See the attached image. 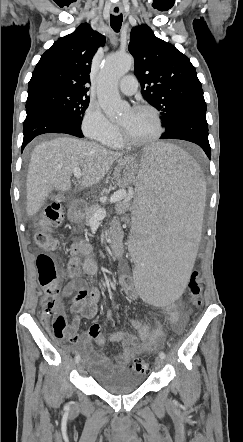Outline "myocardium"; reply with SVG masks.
<instances>
[{
    "instance_id": "1",
    "label": "myocardium",
    "mask_w": 243,
    "mask_h": 442,
    "mask_svg": "<svg viewBox=\"0 0 243 442\" xmlns=\"http://www.w3.org/2000/svg\"><path fill=\"white\" fill-rule=\"evenodd\" d=\"M132 110L136 111V112L150 111L155 117V120L157 123V131L150 138L136 141V140L130 139L126 135L124 129L121 126H119V138H120L121 142L123 143V145L130 146V147H141V146H146V145L156 142L162 136L163 131H164L163 121H162L159 111L155 107L148 105V104L136 105L132 108Z\"/></svg>"
}]
</instances>
